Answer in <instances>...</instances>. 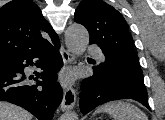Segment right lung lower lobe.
<instances>
[{"mask_svg":"<svg viewBox=\"0 0 165 120\" xmlns=\"http://www.w3.org/2000/svg\"><path fill=\"white\" fill-rule=\"evenodd\" d=\"M58 37L48 43L0 62V101L23 107L38 120H51L62 101L57 72L63 65ZM35 65L41 73L26 77L24 68ZM37 83L32 84L29 80Z\"/></svg>","mask_w":165,"mask_h":120,"instance_id":"98d812e1","label":"right lung lower lobe"}]
</instances>
